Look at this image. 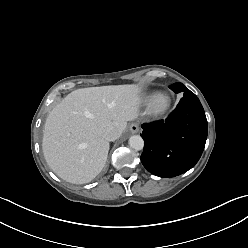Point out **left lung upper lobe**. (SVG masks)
I'll list each match as a JSON object with an SVG mask.
<instances>
[{
	"label": "left lung upper lobe",
	"instance_id": "obj_1",
	"mask_svg": "<svg viewBox=\"0 0 248 248\" xmlns=\"http://www.w3.org/2000/svg\"><path fill=\"white\" fill-rule=\"evenodd\" d=\"M170 88L175 92V93H185L189 92L190 90L186 88L182 83H174L173 85L170 86Z\"/></svg>",
	"mask_w": 248,
	"mask_h": 248
}]
</instances>
